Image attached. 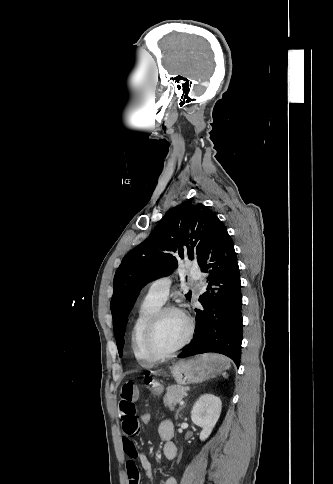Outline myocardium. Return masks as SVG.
<instances>
[{"instance_id": "f54148a6", "label": "myocardium", "mask_w": 333, "mask_h": 484, "mask_svg": "<svg viewBox=\"0 0 333 484\" xmlns=\"http://www.w3.org/2000/svg\"><path fill=\"white\" fill-rule=\"evenodd\" d=\"M180 313L187 322V333L182 342L176 346L174 349L168 352H159L155 349L153 344V338L155 335L156 328L160 322V320L168 313ZM194 332V323L190 317H188L181 309L174 307V306H164L160 307L150 318L148 321L144 336H143V347L145 352L155 360H163L170 357H173L177 354L180 350H182L192 339Z\"/></svg>"}]
</instances>
